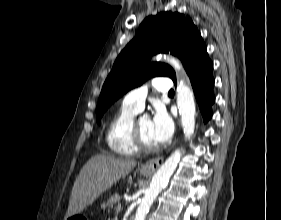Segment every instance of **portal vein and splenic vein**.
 <instances>
[{
  "instance_id": "1",
  "label": "portal vein and splenic vein",
  "mask_w": 281,
  "mask_h": 220,
  "mask_svg": "<svg viewBox=\"0 0 281 220\" xmlns=\"http://www.w3.org/2000/svg\"><path fill=\"white\" fill-rule=\"evenodd\" d=\"M121 209V203L119 202L116 208V214L118 215V213L120 212Z\"/></svg>"
}]
</instances>
